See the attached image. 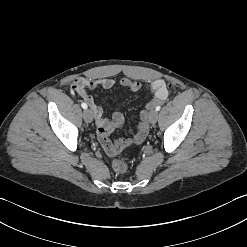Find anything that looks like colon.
Listing matches in <instances>:
<instances>
[{
    "label": "colon",
    "mask_w": 247,
    "mask_h": 247,
    "mask_svg": "<svg viewBox=\"0 0 247 247\" xmlns=\"http://www.w3.org/2000/svg\"><path fill=\"white\" fill-rule=\"evenodd\" d=\"M100 136L103 138L104 137V131L100 132ZM123 146L118 147V152L122 149ZM112 167L115 172L117 173H125L128 169L127 163L123 159H115L112 163Z\"/></svg>",
    "instance_id": "colon-1"
}]
</instances>
